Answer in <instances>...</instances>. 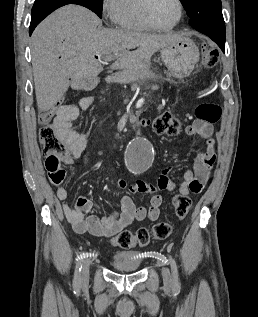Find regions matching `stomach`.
<instances>
[{"label":"stomach","mask_w":258,"mask_h":317,"mask_svg":"<svg viewBox=\"0 0 258 317\" xmlns=\"http://www.w3.org/2000/svg\"><path fill=\"white\" fill-rule=\"evenodd\" d=\"M161 58L172 76L183 78V76L190 74L198 62L199 48L191 38L183 36L175 44L164 46L161 50Z\"/></svg>","instance_id":"0dacf381"}]
</instances>
